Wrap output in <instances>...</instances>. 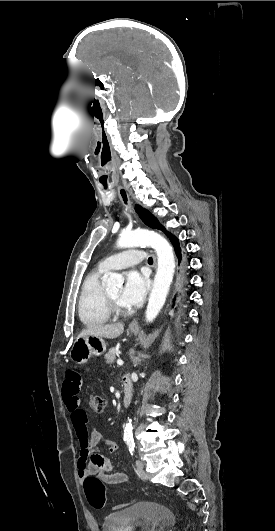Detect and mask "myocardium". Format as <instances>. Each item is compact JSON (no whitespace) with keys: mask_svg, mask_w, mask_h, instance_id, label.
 I'll return each instance as SVG.
<instances>
[{"mask_svg":"<svg viewBox=\"0 0 275 531\" xmlns=\"http://www.w3.org/2000/svg\"><path fill=\"white\" fill-rule=\"evenodd\" d=\"M104 294H105V299H106L107 306H108V309H109L110 313L116 314V315H121V314H124L127 311V309H124V310L121 309L120 306L115 301V299L105 289H104Z\"/></svg>","mask_w":275,"mask_h":531,"instance_id":"1","label":"myocardium"}]
</instances>
